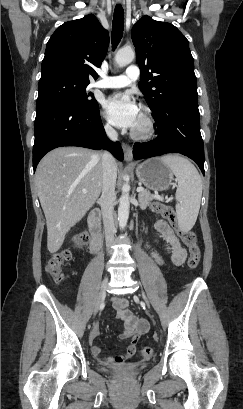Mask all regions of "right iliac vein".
I'll list each match as a JSON object with an SVG mask.
<instances>
[{"label":"right iliac vein","instance_id":"obj_1","mask_svg":"<svg viewBox=\"0 0 243 409\" xmlns=\"http://www.w3.org/2000/svg\"><path fill=\"white\" fill-rule=\"evenodd\" d=\"M107 283H108V278L106 277V278L103 280L102 284H101V288H100V291H99V295H98V298H97V301H96V304H95V307H94V311H93L94 316L97 314L98 309H99V306H100L102 300H103V299L105 298V296H106Z\"/></svg>","mask_w":243,"mask_h":409}]
</instances>
